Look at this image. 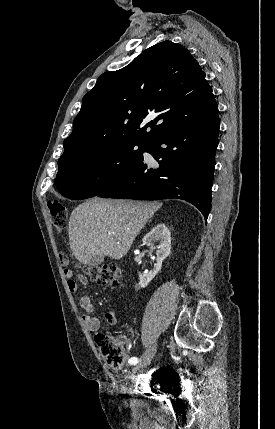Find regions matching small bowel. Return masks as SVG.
I'll return each mask as SVG.
<instances>
[{
  "label": "small bowel",
  "instance_id": "c3829d8e",
  "mask_svg": "<svg viewBox=\"0 0 275 429\" xmlns=\"http://www.w3.org/2000/svg\"><path fill=\"white\" fill-rule=\"evenodd\" d=\"M64 275L67 280V286L70 292H76L77 291V282L74 279V273L70 269L64 270ZM80 282L83 284L87 283V279L80 277ZM79 305L81 309L84 311L82 314V321L90 331H98L100 329V320L93 316L92 313L94 312V305L91 301V299L84 295L80 298ZM106 322L109 325H115L117 322V318L114 311H109L105 314Z\"/></svg>",
  "mask_w": 275,
  "mask_h": 429
}]
</instances>
